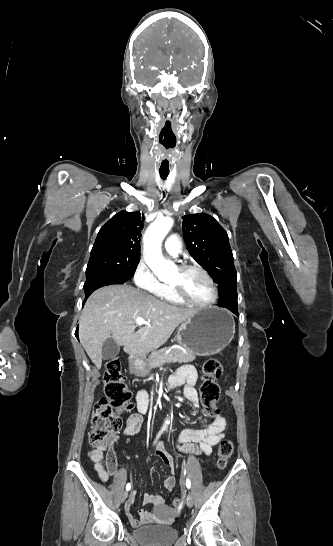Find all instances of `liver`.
<instances>
[{"label": "liver", "instance_id": "liver-1", "mask_svg": "<svg viewBox=\"0 0 333 546\" xmlns=\"http://www.w3.org/2000/svg\"><path fill=\"white\" fill-rule=\"evenodd\" d=\"M163 303L130 285H108L88 298L80 320L79 338L95 366L102 365V347L107 339L124 346L134 356H144L169 339L176 327L197 313ZM149 321L135 332L136 318Z\"/></svg>", "mask_w": 333, "mask_h": 546}]
</instances>
